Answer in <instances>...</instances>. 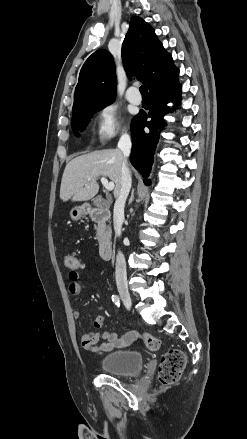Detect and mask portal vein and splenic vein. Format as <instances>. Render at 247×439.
I'll return each mask as SVG.
<instances>
[{"mask_svg": "<svg viewBox=\"0 0 247 439\" xmlns=\"http://www.w3.org/2000/svg\"><path fill=\"white\" fill-rule=\"evenodd\" d=\"M101 183L108 191L113 190L115 187V184L113 182H108V180L105 177H101Z\"/></svg>", "mask_w": 247, "mask_h": 439, "instance_id": "portal-vein-and-splenic-vein-1", "label": "portal vein and splenic vein"}]
</instances>
